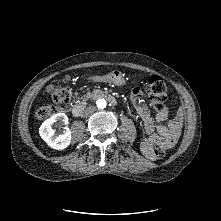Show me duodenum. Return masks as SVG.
<instances>
[{"label": "duodenum", "mask_w": 221, "mask_h": 221, "mask_svg": "<svg viewBox=\"0 0 221 221\" xmlns=\"http://www.w3.org/2000/svg\"><path fill=\"white\" fill-rule=\"evenodd\" d=\"M99 98H103V99L109 101L113 105L117 104V99L112 94H110L106 91H95V92H93L89 96L88 101L96 100V99H99ZM84 108H85V103H78V104L73 106V108L71 110V113L74 117H79L83 113Z\"/></svg>", "instance_id": "1"}]
</instances>
